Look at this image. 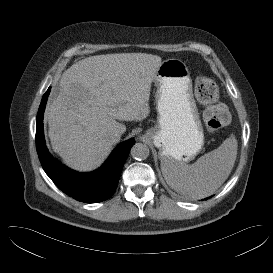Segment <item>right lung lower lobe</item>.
Wrapping results in <instances>:
<instances>
[{
	"instance_id": "98d812e1",
	"label": "right lung lower lobe",
	"mask_w": 273,
	"mask_h": 273,
	"mask_svg": "<svg viewBox=\"0 0 273 273\" xmlns=\"http://www.w3.org/2000/svg\"><path fill=\"white\" fill-rule=\"evenodd\" d=\"M50 89L43 95L36 123V147L44 171L61 191L78 201L96 203L110 198L135 140L132 138L119 144L106 162L94 172L78 173L67 168L51 156L45 143L43 114Z\"/></svg>"
}]
</instances>
